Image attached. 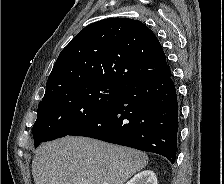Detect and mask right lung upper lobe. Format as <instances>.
Returning <instances> with one entry per match:
<instances>
[{
  "label": "right lung upper lobe",
  "instance_id": "1",
  "mask_svg": "<svg viewBox=\"0 0 224 184\" xmlns=\"http://www.w3.org/2000/svg\"><path fill=\"white\" fill-rule=\"evenodd\" d=\"M170 73L155 34L142 22L108 18L86 26L59 54L42 100L73 85H129Z\"/></svg>",
  "mask_w": 224,
  "mask_h": 184
}]
</instances>
